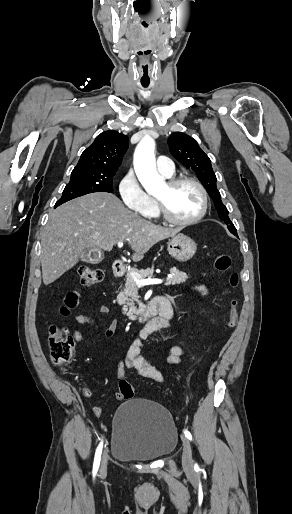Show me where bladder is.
<instances>
[{
  "label": "bladder",
  "instance_id": "obj_1",
  "mask_svg": "<svg viewBox=\"0 0 292 514\" xmlns=\"http://www.w3.org/2000/svg\"><path fill=\"white\" fill-rule=\"evenodd\" d=\"M178 431L171 413L147 399H131L116 410L111 433V452L120 461L150 462L174 450Z\"/></svg>",
  "mask_w": 292,
  "mask_h": 514
}]
</instances>
